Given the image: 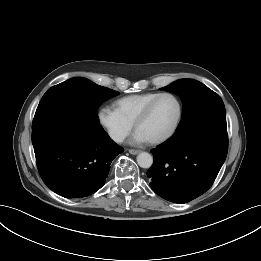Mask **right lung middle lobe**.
<instances>
[{"label":"right lung middle lobe","mask_w":261,"mask_h":261,"mask_svg":"<svg viewBox=\"0 0 261 261\" xmlns=\"http://www.w3.org/2000/svg\"><path fill=\"white\" fill-rule=\"evenodd\" d=\"M118 94L86 78H71L46 91L37 107L32 127L60 117L80 119L99 125L97 109L104 101Z\"/></svg>","instance_id":"1"}]
</instances>
